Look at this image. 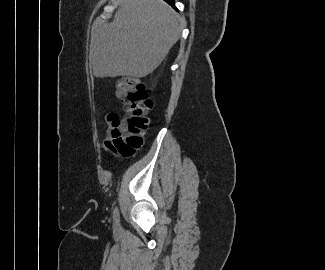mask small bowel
Segmentation results:
<instances>
[{
	"label": "small bowel",
	"mask_w": 325,
	"mask_h": 270,
	"mask_svg": "<svg viewBox=\"0 0 325 270\" xmlns=\"http://www.w3.org/2000/svg\"><path fill=\"white\" fill-rule=\"evenodd\" d=\"M118 118V115L116 113H109L105 117L106 124L108 126L107 129V137L101 142V145L105 149H109L113 152H115V148L112 144V139H111V129H112V123Z\"/></svg>",
	"instance_id": "small-bowel-1"
}]
</instances>
